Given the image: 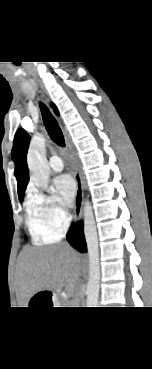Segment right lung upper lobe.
I'll return each mask as SVG.
<instances>
[{
	"label": "right lung upper lobe",
	"instance_id": "cb5924a9",
	"mask_svg": "<svg viewBox=\"0 0 152 369\" xmlns=\"http://www.w3.org/2000/svg\"><path fill=\"white\" fill-rule=\"evenodd\" d=\"M55 111H57L54 106ZM30 137L24 129H18L14 137L12 149V159L15 163V176L17 179V189L19 200L22 201L24 192L29 181L28 167L26 163V154L29 145Z\"/></svg>",
	"mask_w": 152,
	"mask_h": 369
}]
</instances>
